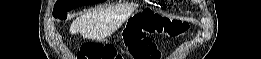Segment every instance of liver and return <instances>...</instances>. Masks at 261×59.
I'll return each instance as SVG.
<instances>
[{"label":"liver","mask_w":261,"mask_h":59,"mask_svg":"<svg viewBox=\"0 0 261 59\" xmlns=\"http://www.w3.org/2000/svg\"><path fill=\"white\" fill-rule=\"evenodd\" d=\"M124 19L113 8L100 7L76 18L70 26V33L79 32L85 38L102 40L114 33Z\"/></svg>","instance_id":"6515ba94"}]
</instances>
